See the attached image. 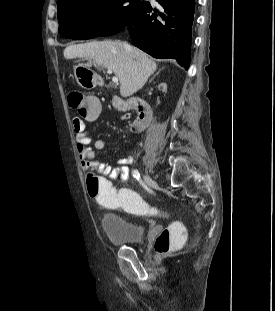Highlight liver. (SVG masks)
Wrapping results in <instances>:
<instances>
[{
    "label": "liver",
    "mask_w": 275,
    "mask_h": 311,
    "mask_svg": "<svg viewBox=\"0 0 275 311\" xmlns=\"http://www.w3.org/2000/svg\"><path fill=\"white\" fill-rule=\"evenodd\" d=\"M120 41L89 42L64 49L66 59L86 58L111 70L120 81V94L128 97L140 90L157 64L146 53ZM85 66H90L86 64Z\"/></svg>",
    "instance_id": "liver-1"
}]
</instances>
